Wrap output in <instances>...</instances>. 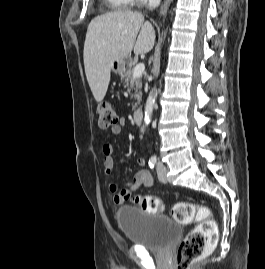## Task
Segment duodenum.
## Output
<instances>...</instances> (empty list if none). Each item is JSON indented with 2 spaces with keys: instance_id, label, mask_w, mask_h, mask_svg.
Masks as SVG:
<instances>
[{
  "instance_id": "410a0bca",
  "label": "duodenum",
  "mask_w": 265,
  "mask_h": 269,
  "mask_svg": "<svg viewBox=\"0 0 265 269\" xmlns=\"http://www.w3.org/2000/svg\"><path fill=\"white\" fill-rule=\"evenodd\" d=\"M133 119L137 124H141L144 119V110L143 109H136L133 112Z\"/></svg>"
}]
</instances>
